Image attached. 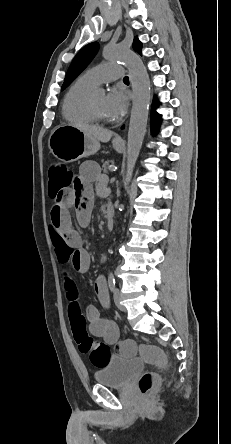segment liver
<instances>
[{
  "mask_svg": "<svg viewBox=\"0 0 231 444\" xmlns=\"http://www.w3.org/2000/svg\"><path fill=\"white\" fill-rule=\"evenodd\" d=\"M72 126L80 129L85 134L92 136L97 141L104 142V143L108 142L113 135L112 131L104 129L102 127H98V126H93V125H88V124H74Z\"/></svg>",
  "mask_w": 231,
  "mask_h": 444,
  "instance_id": "6515ba94",
  "label": "liver"
}]
</instances>
